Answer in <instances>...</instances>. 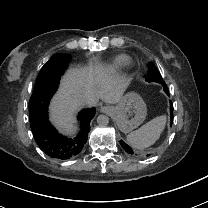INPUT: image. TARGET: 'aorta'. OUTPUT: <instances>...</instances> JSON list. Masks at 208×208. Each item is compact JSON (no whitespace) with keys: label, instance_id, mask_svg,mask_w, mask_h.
Segmentation results:
<instances>
[{"label":"aorta","instance_id":"obj_1","mask_svg":"<svg viewBox=\"0 0 208 208\" xmlns=\"http://www.w3.org/2000/svg\"><path fill=\"white\" fill-rule=\"evenodd\" d=\"M97 123L100 126H107L109 124V117L106 115H100L97 118Z\"/></svg>","mask_w":208,"mask_h":208}]
</instances>
